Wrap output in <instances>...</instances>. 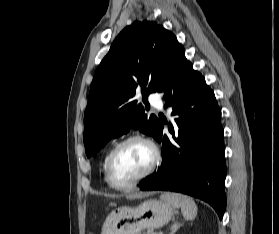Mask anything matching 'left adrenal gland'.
<instances>
[{
    "mask_svg": "<svg viewBox=\"0 0 279 234\" xmlns=\"http://www.w3.org/2000/svg\"><path fill=\"white\" fill-rule=\"evenodd\" d=\"M182 226L179 222H174L173 225L170 227V233L169 234H175L176 231Z\"/></svg>",
    "mask_w": 279,
    "mask_h": 234,
    "instance_id": "1",
    "label": "left adrenal gland"
}]
</instances>
